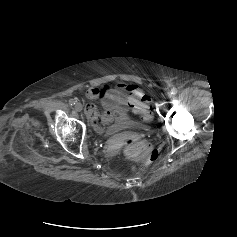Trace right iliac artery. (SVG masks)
<instances>
[{"instance_id": "right-iliac-artery-1", "label": "right iliac artery", "mask_w": 237, "mask_h": 237, "mask_svg": "<svg viewBox=\"0 0 237 237\" xmlns=\"http://www.w3.org/2000/svg\"><path fill=\"white\" fill-rule=\"evenodd\" d=\"M76 102H77V101H76V100H74V99H70V100H69V104H70V105H75V104H76Z\"/></svg>"}]
</instances>
